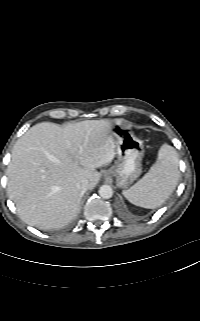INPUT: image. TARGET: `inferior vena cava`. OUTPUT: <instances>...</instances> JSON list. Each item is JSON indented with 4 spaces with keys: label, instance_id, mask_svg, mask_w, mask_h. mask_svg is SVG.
<instances>
[{
    "label": "inferior vena cava",
    "instance_id": "inferior-vena-cava-1",
    "mask_svg": "<svg viewBox=\"0 0 200 321\" xmlns=\"http://www.w3.org/2000/svg\"><path fill=\"white\" fill-rule=\"evenodd\" d=\"M76 186L81 192L84 193L85 191L88 190V180L83 179V180L77 182Z\"/></svg>",
    "mask_w": 200,
    "mask_h": 321
}]
</instances>
